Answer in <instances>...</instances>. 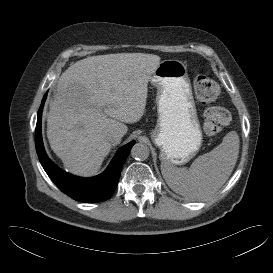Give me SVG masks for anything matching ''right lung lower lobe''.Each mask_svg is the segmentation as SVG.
I'll return each instance as SVG.
<instances>
[{
	"mask_svg": "<svg viewBox=\"0 0 273 273\" xmlns=\"http://www.w3.org/2000/svg\"><path fill=\"white\" fill-rule=\"evenodd\" d=\"M46 97L47 94L44 95L38 111L35 131L36 151L44 170L63 193L76 201L94 203L109 199L117 187L122 166L135 141L121 147L115 154L108 168L96 177L81 178L62 171L48 158L43 146L41 117Z\"/></svg>",
	"mask_w": 273,
	"mask_h": 273,
	"instance_id": "98d812e1",
	"label": "right lung lower lobe"
}]
</instances>
